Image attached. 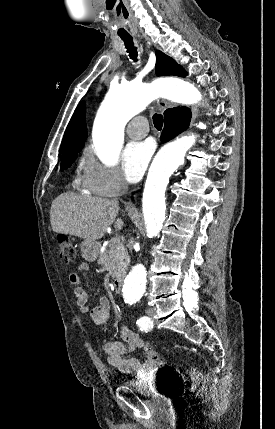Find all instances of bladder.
I'll return each instance as SVG.
<instances>
[{
  "label": "bladder",
  "instance_id": "31cf9c89",
  "mask_svg": "<svg viewBox=\"0 0 275 429\" xmlns=\"http://www.w3.org/2000/svg\"><path fill=\"white\" fill-rule=\"evenodd\" d=\"M132 393H140L141 398H151L152 403H175L179 398L177 377L132 378Z\"/></svg>",
  "mask_w": 275,
  "mask_h": 429
}]
</instances>
